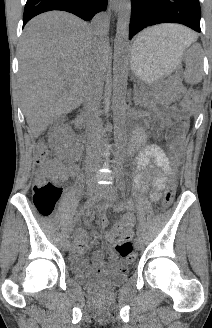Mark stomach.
Instances as JSON below:
<instances>
[{"mask_svg": "<svg viewBox=\"0 0 212 328\" xmlns=\"http://www.w3.org/2000/svg\"><path fill=\"white\" fill-rule=\"evenodd\" d=\"M184 49L179 44L162 39L148 40L143 47L133 45L132 71L144 83H156L176 68Z\"/></svg>", "mask_w": 212, "mask_h": 328, "instance_id": "1", "label": "stomach"}]
</instances>
